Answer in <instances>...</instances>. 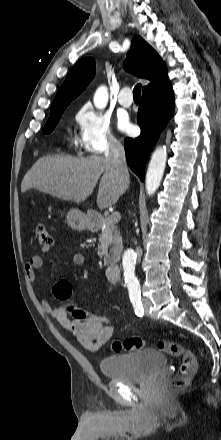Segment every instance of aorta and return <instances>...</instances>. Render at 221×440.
<instances>
[{
	"mask_svg": "<svg viewBox=\"0 0 221 440\" xmlns=\"http://www.w3.org/2000/svg\"><path fill=\"white\" fill-rule=\"evenodd\" d=\"M94 105L103 109L108 103V90L105 86L97 89L94 95ZM167 152L166 148L158 147L152 154L147 174H146V191L152 195L158 189L166 166ZM136 253L132 249L125 251L123 256L124 277L127 288L130 292L140 290L139 282L135 276Z\"/></svg>",
	"mask_w": 221,
	"mask_h": 440,
	"instance_id": "aorta-1",
	"label": "aorta"
}]
</instances>
